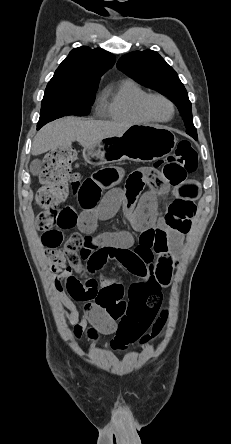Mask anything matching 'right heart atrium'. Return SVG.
Returning <instances> with one entry per match:
<instances>
[{"mask_svg":"<svg viewBox=\"0 0 231 444\" xmlns=\"http://www.w3.org/2000/svg\"><path fill=\"white\" fill-rule=\"evenodd\" d=\"M97 109H98V111H100V110L103 109V106H102L101 100L98 102Z\"/></svg>","mask_w":231,"mask_h":444,"instance_id":"right-heart-atrium-1","label":"right heart atrium"}]
</instances>
